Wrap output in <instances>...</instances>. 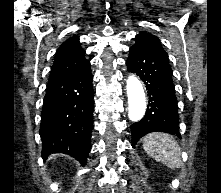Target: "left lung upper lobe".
I'll return each instance as SVG.
<instances>
[{
  "instance_id": "obj_1",
  "label": "left lung upper lobe",
  "mask_w": 221,
  "mask_h": 193,
  "mask_svg": "<svg viewBox=\"0 0 221 193\" xmlns=\"http://www.w3.org/2000/svg\"><path fill=\"white\" fill-rule=\"evenodd\" d=\"M136 41L150 45L156 50H158L159 52L167 55V53L164 51L161 45L159 38L151 33L140 32L139 34L136 35Z\"/></svg>"
}]
</instances>
